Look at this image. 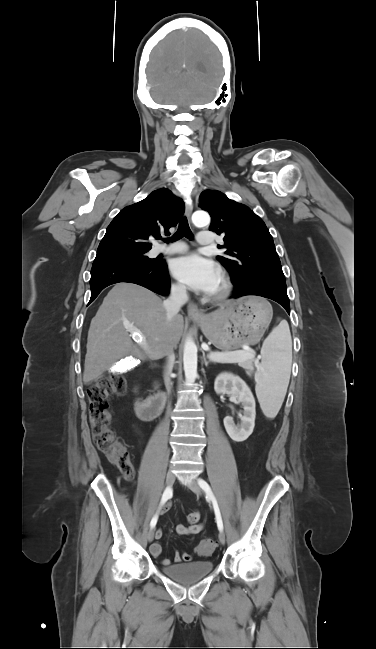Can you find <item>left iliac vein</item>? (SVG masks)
I'll return each instance as SVG.
<instances>
[{"instance_id": "obj_1", "label": "left iliac vein", "mask_w": 376, "mask_h": 649, "mask_svg": "<svg viewBox=\"0 0 376 649\" xmlns=\"http://www.w3.org/2000/svg\"><path fill=\"white\" fill-rule=\"evenodd\" d=\"M188 487L190 488L191 491H193L196 495H201V488L200 486L195 482V481H190L188 483ZM219 541L221 544L225 543V533L223 531L219 532L218 535Z\"/></svg>"}]
</instances>
